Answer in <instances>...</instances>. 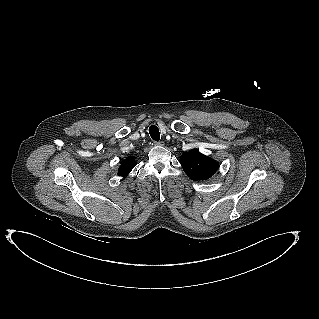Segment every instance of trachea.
<instances>
[{"mask_svg": "<svg viewBox=\"0 0 319 319\" xmlns=\"http://www.w3.org/2000/svg\"><path fill=\"white\" fill-rule=\"evenodd\" d=\"M149 133H150V136L153 140H155V141L160 140V132H159V129L157 126L151 125L149 127Z\"/></svg>", "mask_w": 319, "mask_h": 319, "instance_id": "obj_1", "label": "trachea"}]
</instances>
